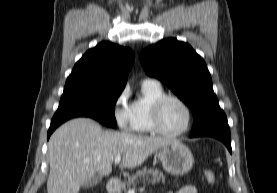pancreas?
Wrapping results in <instances>:
<instances>
[{"label":"pancreas","instance_id":"1","mask_svg":"<svg viewBox=\"0 0 277 193\" xmlns=\"http://www.w3.org/2000/svg\"><path fill=\"white\" fill-rule=\"evenodd\" d=\"M138 179H142L143 182L146 180L151 184L165 182V176L163 172L158 169L144 167L129 176L128 180L121 184V190L126 193L127 190H130L132 186H135Z\"/></svg>","mask_w":277,"mask_h":193}]
</instances>
